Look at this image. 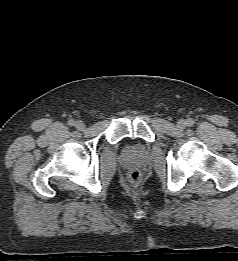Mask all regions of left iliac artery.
<instances>
[{
    "instance_id": "44dca946",
    "label": "left iliac artery",
    "mask_w": 238,
    "mask_h": 261,
    "mask_svg": "<svg viewBox=\"0 0 238 261\" xmlns=\"http://www.w3.org/2000/svg\"><path fill=\"white\" fill-rule=\"evenodd\" d=\"M187 124L189 125V126H193L194 125V120L193 119H188L187 120Z\"/></svg>"
}]
</instances>
